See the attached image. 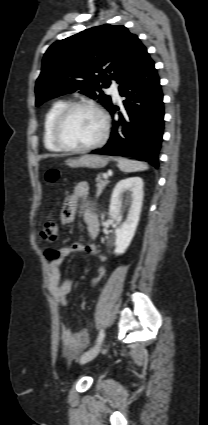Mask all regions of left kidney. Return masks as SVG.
<instances>
[{
	"label": "left kidney",
	"mask_w": 208,
	"mask_h": 425,
	"mask_svg": "<svg viewBox=\"0 0 208 425\" xmlns=\"http://www.w3.org/2000/svg\"><path fill=\"white\" fill-rule=\"evenodd\" d=\"M143 180L140 177H130L119 181L111 196L109 215L120 223L123 216L121 199L126 192V219L115 230V254H123L129 247L139 222L143 201Z\"/></svg>",
	"instance_id": "left-kidney-1"
}]
</instances>
